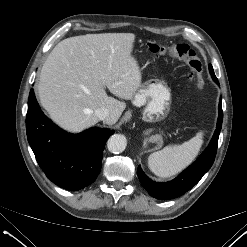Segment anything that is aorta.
I'll list each match as a JSON object with an SVG mask.
<instances>
[{"mask_svg": "<svg viewBox=\"0 0 247 247\" xmlns=\"http://www.w3.org/2000/svg\"><path fill=\"white\" fill-rule=\"evenodd\" d=\"M127 139L122 134H114L107 141V148L111 153L119 154L125 150Z\"/></svg>", "mask_w": 247, "mask_h": 247, "instance_id": "obj_1", "label": "aorta"}]
</instances>
